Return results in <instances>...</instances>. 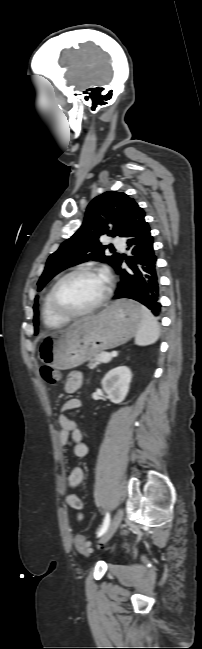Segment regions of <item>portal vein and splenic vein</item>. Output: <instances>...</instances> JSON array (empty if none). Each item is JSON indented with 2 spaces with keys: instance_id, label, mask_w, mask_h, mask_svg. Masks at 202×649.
Returning a JSON list of instances; mask_svg holds the SVG:
<instances>
[{
  "instance_id": "1",
  "label": "portal vein and splenic vein",
  "mask_w": 202,
  "mask_h": 649,
  "mask_svg": "<svg viewBox=\"0 0 202 649\" xmlns=\"http://www.w3.org/2000/svg\"><path fill=\"white\" fill-rule=\"evenodd\" d=\"M101 360H102L103 363H108L111 360V354L102 353L101 354Z\"/></svg>"
}]
</instances>
